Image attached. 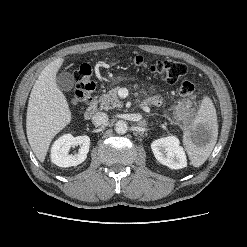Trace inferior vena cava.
Instances as JSON below:
<instances>
[{
    "label": "inferior vena cava",
    "instance_id": "inferior-vena-cava-1",
    "mask_svg": "<svg viewBox=\"0 0 247 247\" xmlns=\"http://www.w3.org/2000/svg\"><path fill=\"white\" fill-rule=\"evenodd\" d=\"M108 122V115L103 112H98L92 117V123L95 126H102Z\"/></svg>",
    "mask_w": 247,
    "mask_h": 247
}]
</instances>
